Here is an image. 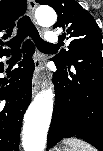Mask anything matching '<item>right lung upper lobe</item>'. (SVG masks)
Instances as JSON below:
<instances>
[{
    "mask_svg": "<svg viewBox=\"0 0 103 151\" xmlns=\"http://www.w3.org/2000/svg\"><path fill=\"white\" fill-rule=\"evenodd\" d=\"M26 10V0H1L0 1V38L11 36L15 22ZM0 44L2 40L0 39ZM0 47V52L3 51Z\"/></svg>",
    "mask_w": 103,
    "mask_h": 151,
    "instance_id": "obj_1",
    "label": "right lung upper lobe"
}]
</instances>
